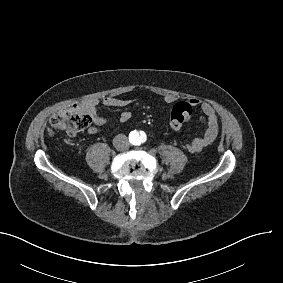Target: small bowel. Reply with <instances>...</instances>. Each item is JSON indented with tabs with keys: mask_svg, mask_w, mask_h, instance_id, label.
Instances as JSON below:
<instances>
[{
	"mask_svg": "<svg viewBox=\"0 0 283 283\" xmlns=\"http://www.w3.org/2000/svg\"><path fill=\"white\" fill-rule=\"evenodd\" d=\"M175 99L172 96H167L164 98V103L169 105L174 103ZM134 102L132 99H123L117 97H104L102 100L98 98H87L81 103V109L85 113L91 116L94 125L88 129V133L95 135L99 133V126H102L107 123V120L104 119L98 112L97 107L100 103L104 106L111 108H124L131 105ZM183 102H190L194 107H200L202 112V124L204 127V132L202 135L194 138L187 144V150L191 153H199L204 148L209 146L214 142L218 133H219V122L215 110L213 107L206 103L202 102L197 98H190ZM177 103V104H179ZM176 104V105H177ZM131 119V113L129 111H124L119 116V121L121 123L128 122Z\"/></svg>",
	"mask_w": 283,
	"mask_h": 283,
	"instance_id": "obj_1",
	"label": "small bowel"
}]
</instances>
